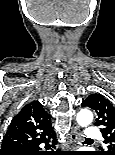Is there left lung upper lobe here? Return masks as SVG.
Returning <instances> with one entry per match:
<instances>
[{"label":"left lung upper lobe","mask_w":115,"mask_h":155,"mask_svg":"<svg viewBox=\"0 0 115 155\" xmlns=\"http://www.w3.org/2000/svg\"><path fill=\"white\" fill-rule=\"evenodd\" d=\"M97 113L96 126L101 127L104 143L107 147L94 155H115V107L102 95L91 94L82 103Z\"/></svg>","instance_id":"obj_1"}]
</instances>
